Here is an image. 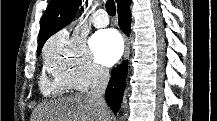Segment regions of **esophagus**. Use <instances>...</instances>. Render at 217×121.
<instances>
[{
	"mask_svg": "<svg viewBox=\"0 0 217 121\" xmlns=\"http://www.w3.org/2000/svg\"><path fill=\"white\" fill-rule=\"evenodd\" d=\"M130 55V43H129V39H126V43H125V54H124V59H128Z\"/></svg>",
	"mask_w": 217,
	"mask_h": 121,
	"instance_id": "obj_1",
	"label": "esophagus"
}]
</instances>
